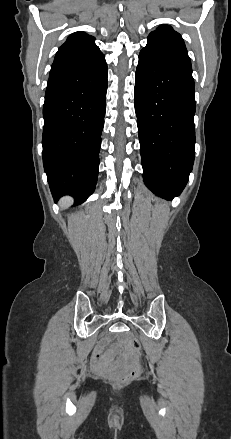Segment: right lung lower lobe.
Returning a JSON list of instances; mask_svg holds the SVG:
<instances>
[{
	"label": "right lung lower lobe",
	"mask_w": 231,
	"mask_h": 439,
	"mask_svg": "<svg viewBox=\"0 0 231 439\" xmlns=\"http://www.w3.org/2000/svg\"><path fill=\"white\" fill-rule=\"evenodd\" d=\"M108 69L103 56L91 66L50 78L43 107V165L53 198L93 193L106 111Z\"/></svg>",
	"instance_id": "right-lung-lower-lobe-1"
}]
</instances>
